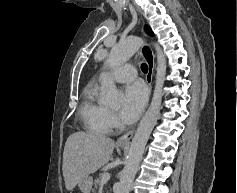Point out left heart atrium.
I'll list each match as a JSON object with an SVG mask.
<instances>
[{
  "mask_svg": "<svg viewBox=\"0 0 237 193\" xmlns=\"http://www.w3.org/2000/svg\"><path fill=\"white\" fill-rule=\"evenodd\" d=\"M147 97L148 91L142 82L136 81L127 85L120 112L122 120L127 123L135 121L144 109Z\"/></svg>",
  "mask_w": 237,
  "mask_h": 193,
  "instance_id": "39dd6f15",
  "label": "left heart atrium"
}]
</instances>
